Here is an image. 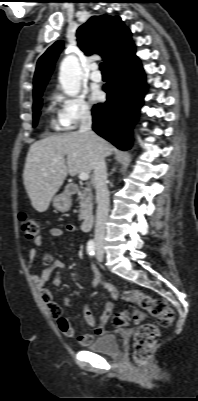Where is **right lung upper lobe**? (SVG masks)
I'll return each instance as SVG.
<instances>
[{
	"mask_svg": "<svg viewBox=\"0 0 198 401\" xmlns=\"http://www.w3.org/2000/svg\"><path fill=\"white\" fill-rule=\"evenodd\" d=\"M77 40L84 53L100 54L107 67L134 47L130 30L118 16L91 17L77 30ZM62 47V41H57L38 59L34 75V96L43 92Z\"/></svg>",
	"mask_w": 198,
	"mask_h": 401,
	"instance_id": "obj_1",
	"label": "right lung upper lobe"
}]
</instances>
